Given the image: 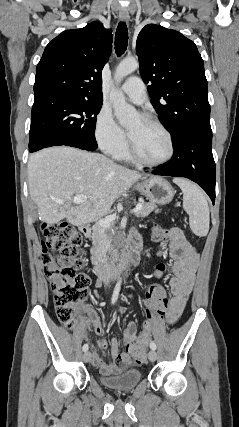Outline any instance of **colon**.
Wrapping results in <instances>:
<instances>
[{"mask_svg":"<svg viewBox=\"0 0 239 427\" xmlns=\"http://www.w3.org/2000/svg\"><path fill=\"white\" fill-rule=\"evenodd\" d=\"M147 232L150 244H159L156 248L158 256L166 253V244H170L171 237L166 235L167 228L161 222H152ZM44 237L42 242L41 261L44 264V273L49 278L54 294V304L57 318L68 328H72L79 312L81 303L89 295V278L81 272L84 263L82 236L67 223H44L41 226ZM55 254V255H54ZM154 279L148 281L143 295L148 309L149 321L144 325V331L138 341L128 347L127 352L132 355L136 363H143L146 358V347L151 337L152 321L157 320L163 326L166 299L168 290L161 282L169 279L166 262L154 263Z\"/></svg>","mask_w":239,"mask_h":427,"instance_id":"1","label":"colon"}]
</instances>
